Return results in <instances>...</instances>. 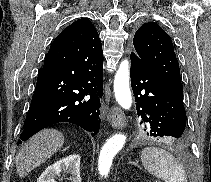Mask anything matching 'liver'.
Here are the masks:
<instances>
[{"mask_svg": "<svg viewBox=\"0 0 211 182\" xmlns=\"http://www.w3.org/2000/svg\"><path fill=\"white\" fill-rule=\"evenodd\" d=\"M64 143V136L55 129H45L31 137L19 149L16 157V172L26 176L56 153Z\"/></svg>", "mask_w": 211, "mask_h": 182, "instance_id": "obj_1", "label": "liver"}]
</instances>
